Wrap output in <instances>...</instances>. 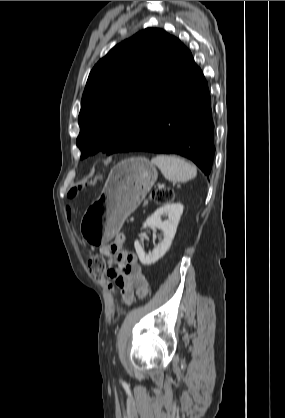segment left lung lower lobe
Wrapping results in <instances>:
<instances>
[{
    "label": "left lung lower lobe",
    "instance_id": "0a47b994",
    "mask_svg": "<svg viewBox=\"0 0 285 418\" xmlns=\"http://www.w3.org/2000/svg\"><path fill=\"white\" fill-rule=\"evenodd\" d=\"M208 83L185 47L175 72L139 135L124 152L174 153L192 160L206 175L215 146Z\"/></svg>",
    "mask_w": 285,
    "mask_h": 418
}]
</instances>
